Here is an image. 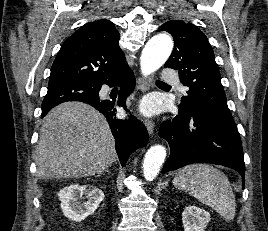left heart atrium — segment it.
<instances>
[{
  "label": "left heart atrium",
  "instance_id": "left-heart-atrium-1",
  "mask_svg": "<svg viewBox=\"0 0 268 231\" xmlns=\"http://www.w3.org/2000/svg\"><path fill=\"white\" fill-rule=\"evenodd\" d=\"M141 111L145 115H151L155 111V106L150 100H147V101L142 103Z\"/></svg>",
  "mask_w": 268,
  "mask_h": 231
}]
</instances>
